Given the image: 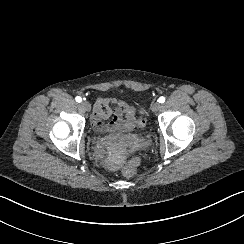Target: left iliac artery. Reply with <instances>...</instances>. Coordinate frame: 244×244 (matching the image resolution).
Returning a JSON list of instances; mask_svg holds the SVG:
<instances>
[{"label":"left iliac artery","mask_w":244,"mask_h":244,"mask_svg":"<svg viewBox=\"0 0 244 244\" xmlns=\"http://www.w3.org/2000/svg\"><path fill=\"white\" fill-rule=\"evenodd\" d=\"M159 103H164L165 102V97L161 96L159 99H158Z\"/></svg>","instance_id":"1"}]
</instances>
